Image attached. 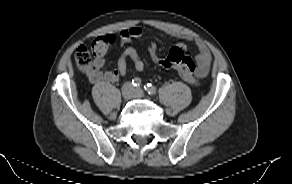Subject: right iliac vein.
I'll use <instances>...</instances> for the list:
<instances>
[{
	"label": "right iliac vein",
	"mask_w": 292,
	"mask_h": 184,
	"mask_svg": "<svg viewBox=\"0 0 292 184\" xmlns=\"http://www.w3.org/2000/svg\"><path fill=\"white\" fill-rule=\"evenodd\" d=\"M122 96L125 100H128L133 96V88L130 83H126L122 87Z\"/></svg>",
	"instance_id": "63e3f726"
}]
</instances>
